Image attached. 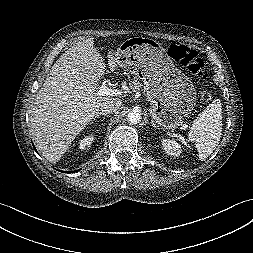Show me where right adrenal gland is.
Here are the masks:
<instances>
[{"mask_svg": "<svg viewBox=\"0 0 253 253\" xmlns=\"http://www.w3.org/2000/svg\"><path fill=\"white\" fill-rule=\"evenodd\" d=\"M99 116H103V118H105V117L107 116V114H105V113H103V112H98V113L96 114V116L94 117V121H95L97 118H99Z\"/></svg>", "mask_w": 253, "mask_h": 253, "instance_id": "obj_1", "label": "right adrenal gland"}]
</instances>
